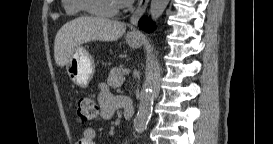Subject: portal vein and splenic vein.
<instances>
[{
	"mask_svg": "<svg viewBox=\"0 0 273 144\" xmlns=\"http://www.w3.org/2000/svg\"><path fill=\"white\" fill-rule=\"evenodd\" d=\"M129 73H130V70H129V69H125V70L123 71V75H129Z\"/></svg>",
	"mask_w": 273,
	"mask_h": 144,
	"instance_id": "1",
	"label": "portal vein and splenic vein"
}]
</instances>
